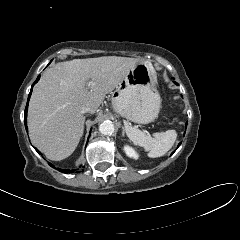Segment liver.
I'll return each mask as SVG.
<instances>
[{"instance_id": "obj_1", "label": "liver", "mask_w": 240, "mask_h": 240, "mask_svg": "<svg viewBox=\"0 0 240 240\" xmlns=\"http://www.w3.org/2000/svg\"><path fill=\"white\" fill-rule=\"evenodd\" d=\"M136 58L103 56L59 62L48 68L33 90L28 109L32 143L53 161L69 157L83 135L82 107L97 111L105 95L112 92Z\"/></svg>"}]
</instances>
